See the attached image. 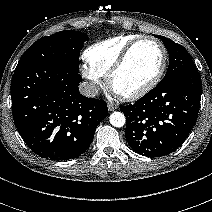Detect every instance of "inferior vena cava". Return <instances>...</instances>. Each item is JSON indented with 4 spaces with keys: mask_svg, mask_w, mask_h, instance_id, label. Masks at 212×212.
Masks as SVG:
<instances>
[{
    "mask_svg": "<svg viewBox=\"0 0 212 212\" xmlns=\"http://www.w3.org/2000/svg\"><path fill=\"white\" fill-rule=\"evenodd\" d=\"M79 91L86 97H95L98 94V89L95 84L89 82L80 83Z\"/></svg>",
    "mask_w": 212,
    "mask_h": 212,
    "instance_id": "inferior-vena-cava-1",
    "label": "inferior vena cava"
}]
</instances>
